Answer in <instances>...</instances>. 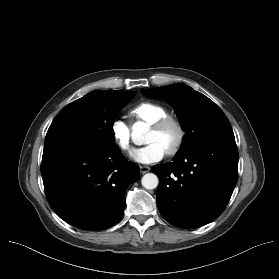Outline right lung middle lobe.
<instances>
[{"label": "right lung middle lobe", "mask_w": 279, "mask_h": 279, "mask_svg": "<svg viewBox=\"0 0 279 279\" xmlns=\"http://www.w3.org/2000/svg\"><path fill=\"white\" fill-rule=\"evenodd\" d=\"M135 95L98 90L65 106L50 125L45 145L78 140L98 148L114 147L113 123L121 108Z\"/></svg>", "instance_id": "obj_1"}]
</instances>
